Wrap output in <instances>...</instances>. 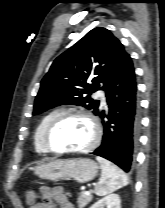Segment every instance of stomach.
I'll use <instances>...</instances> for the list:
<instances>
[{
    "label": "stomach",
    "instance_id": "0dacf381",
    "mask_svg": "<svg viewBox=\"0 0 165 208\" xmlns=\"http://www.w3.org/2000/svg\"><path fill=\"white\" fill-rule=\"evenodd\" d=\"M97 172V163L88 158L54 159L34 168V173L38 177L55 182L75 180L86 183L93 180Z\"/></svg>",
    "mask_w": 165,
    "mask_h": 208
}]
</instances>
